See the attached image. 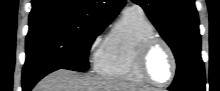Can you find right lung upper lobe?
I'll return each mask as SVG.
<instances>
[{"label": "right lung upper lobe", "instance_id": "obj_1", "mask_svg": "<svg viewBox=\"0 0 220 91\" xmlns=\"http://www.w3.org/2000/svg\"><path fill=\"white\" fill-rule=\"evenodd\" d=\"M125 0H32L29 25L64 19L109 25Z\"/></svg>", "mask_w": 220, "mask_h": 91}]
</instances>
